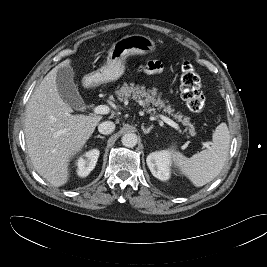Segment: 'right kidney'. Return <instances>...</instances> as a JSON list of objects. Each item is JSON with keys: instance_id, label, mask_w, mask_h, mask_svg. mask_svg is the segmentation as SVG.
I'll return each instance as SVG.
<instances>
[{"instance_id": "right-kidney-1", "label": "right kidney", "mask_w": 267, "mask_h": 267, "mask_svg": "<svg viewBox=\"0 0 267 267\" xmlns=\"http://www.w3.org/2000/svg\"><path fill=\"white\" fill-rule=\"evenodd\" d=\"M99 150L92 149L86 152L83 157H81L77 162V174L79 177H86L95 168L98 157Z\"/></svg>"}]
</instances>
